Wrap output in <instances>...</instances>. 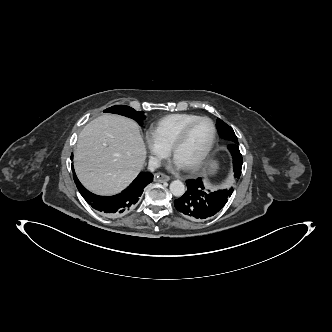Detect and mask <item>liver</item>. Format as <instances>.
<instances>
[{
  "label": "liver",
  "mask_w": 332,
  "mask_h": 332,
  "mask_svg": "<svg viewBox=\"0 0 332 332\" xmlns=\"http://www.w3.org/2000/svg\"><path fill=\"white\" fill-rule=\"evenodd\" d=\"M145 159L146 147L136 123L120 115L104 114L79 134L74 168L88 190L110 196L131 183Z\"/></svg>",
  "instance_id": "liver-1"
}]
</instances>
